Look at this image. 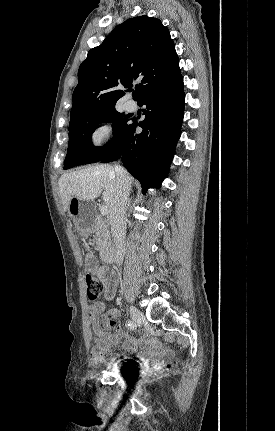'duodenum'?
<instances>
[{"instance_id": "410a0bca", "label": "duodenum", "mask_w": 275, "mask_h": 431, "mask_svg": "<svg viewBox=\"0 0 275 431\" xmlns=\"http://www.w3.org/2000/svg\"><path fill=\"white\" fill-rule=\"evenodd\" d=\"M100 257L105 263H114L117 258L115 246L111 243L104 245L100 250Z\"/></svg>"}]
</instances>
